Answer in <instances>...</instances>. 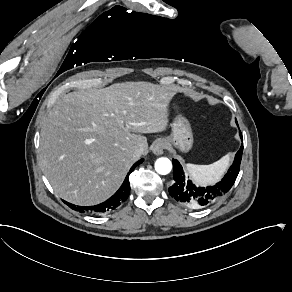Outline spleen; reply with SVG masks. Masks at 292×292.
Segmentation results:
<instances>
[{
	"mask_svg": "<svg viewBox=\"0 0 292 292\" xmlns=\"http://www.w3.org/2000/svg\"><path fill=\"white\" fill-rule=\"evenodd\" d=\"M230 153L209 165L187 164L186 168L195 184L214 185L224 175L229 166Z\"/></svg>",
	"mask_w": 292,
	"mask_h": 292,
	"instance_id": "obj_1",
	"label": "spleen"
}]
</instances>
